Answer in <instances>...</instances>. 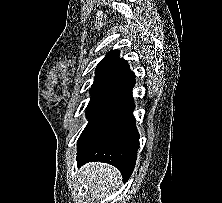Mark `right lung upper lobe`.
<instances>
[{
	"mask_svg": "<svg viewBox=\"0 0 222 203\" xmlns=\"http://www.w3.org/2000/svg\"><path fill=\"white\" fill-rule=\"evenodd\" d=\"M119 53L112 50L100 61L90 90L115 95L135 79L127 61L119 59Z\"/></svg>",
	"mask_w": 222,
	"mask_h": 203,
	"instance_id": "right-lung-upper-lobe-1",
	"label": "right lung upper lobe"
}]
</instances>
